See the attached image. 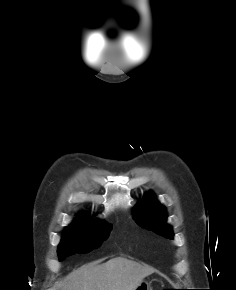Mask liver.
I'll return each mask as SVG.
<instances>
[{
    "mask_svg": "<svg viewBox=\"0 0 236 290\" xmlns=\"http://www.w3.org/2000/svg\"><path fill=\"white\" fill-rule=\"evenodd\" d=\"M153 269L123 257L88 264L69 274L61 290H135Z\"/></svg>",
    "mask_w": 236,
    "mask_h": 290,
    "instance_id": "obj_1",
    "label": "liver"
}]
</instances>
